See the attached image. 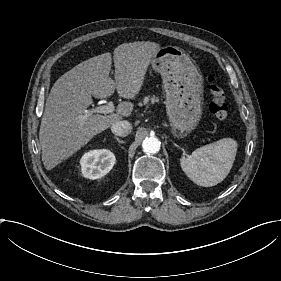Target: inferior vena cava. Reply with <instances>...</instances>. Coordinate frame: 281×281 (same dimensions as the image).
<instances>
[{
  "mask_svg": "<svg viewBox=\"0 0 281 281\" xmlns=\"http://www.w3.org/2000/svg\"><path fill=\"white\" fill-rule=\"evenodd\" d=\"M112 133L117 136H128L132 131V125L128 121H118L111 127Z\"/></svg>",
  "mask_w": 281,
  "mask_h": 281,
  "instance_id": "602c4592",
  "label": "inferior vena cava"
}]
</instances>
